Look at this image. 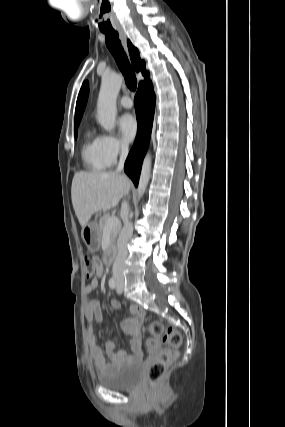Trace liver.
<instances>
[{
	"label": "liver",
	"instance_id": "liver-1",
	"mask_svg": "<svg viewBox=\"0 0 285 427\" xmlns=\"http://www.w3.org/2000/svg\"><path fill=\"white\" fill-rule=\"evenodd\" d=\"M130 181L115 172H77L71 186V199L82 228L91 216L114 208L129 191Z\"/></svg>",
	"mask_w": 285,
	"mask_h": 427
}]
</instances>
